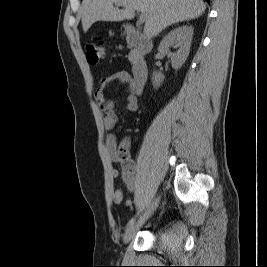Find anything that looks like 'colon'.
<instances>
[{"label": "colon", "instance_id": "colon-1", "mask_svg": "<svg viewBox=\"0 0 267 267\" xmlns=\"http://www.w3.org/2000/svg\"><path fill=\"white\" fill-rule=\"evenodd\" d=\"M107 54L106 47L104 46L103 42H97L95 44H91L87 48V59L90 64H97L102 59L105 58ZM118 155L121 160H128L129 159V151L127 143H123L119 150Z\"/></svg>", "mask_w": 267, "mask_h": 267}]
</instances>
